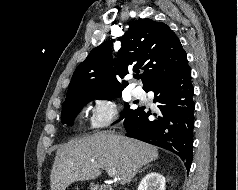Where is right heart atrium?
Returning <instances> with one entry per match:
<instances>
[{"instance_id": "d8ad5b80", "label": "right heart atrium", "mask_w": 238, "mask_h": 190, "mask_svg": "<svg viewBox=\"0 0 238 190\" xmlns=\"http://www.w3.org/2000/svg\"><path fill=\"white\" fill-rule=\"evenodd\" d=\"M120 115L119 106L109 97L98 96L90 105V126L102 129L114 123Z\"/></svg>"}]
</instances>
